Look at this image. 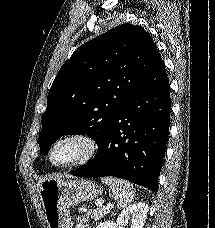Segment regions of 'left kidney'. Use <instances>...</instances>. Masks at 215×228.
<instances>
[{"instance_id":"5707ae66","label":"left kidney","mask_w":215,"mask_h":228,"mask_svg":"<svg viewBox=\"0 0 215 228\" xmlns=\"http://www.w3.org/2000/svg\"><path fill=\"white\" fill-rule=\"evenodd\" d=\"M148 212V204H131L119 214L115 228H143Z\"/></svg>"}]
</instances>
